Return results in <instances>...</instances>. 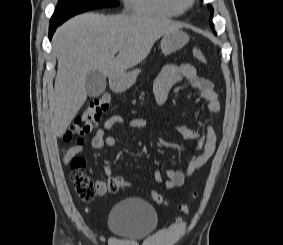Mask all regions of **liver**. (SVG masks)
I'll list each match as a JSON object with an SVG mask.
<instances>
[{"label": "liver", "mask_w": 283, "mask_h": 245, "mask_svg": "<svg viewBox=\"0 0 283 245\" xmlns=\"http://www.w3.org/2000/svg\"><path fill=\"white\" fill-rule=\"evenodd\" d=\"M181 27L150 16L94 13L77 15L59 27L54 37L58 70L51 125L55 135H64L87 100L85 80L90 71L116 78L141 63L160 37Z\"/></svg>", "instance_id": "1"}]
</instances>
